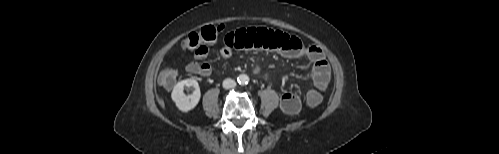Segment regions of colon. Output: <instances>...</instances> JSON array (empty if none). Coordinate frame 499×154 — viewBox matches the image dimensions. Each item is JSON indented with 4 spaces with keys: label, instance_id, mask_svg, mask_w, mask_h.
Here are the masks:
<instances>
[{
    "label": "colon",
    "instance_id": "5ec220e1",
    "mask_svg": "<svg viewBox=\"0 0 499 154\" xmlns=\"http://www.w3.org/2000/svg\"><path fill=\"white\" fill-rule=\"evenodd\" d=\"M221 30L222 26H205L197 32L190 33L181 42V46L183 49L196 50L202 44L214 41ZM176 79L177 70L171 65H165L160 71L158 81L160 85L170 89L174 86ZM305 99L310 107H317L322 101V96L317 90L310 89Z\"/></svg>",
    "mask_w": 499,
    "mask_h": 154
}]
</instances>
